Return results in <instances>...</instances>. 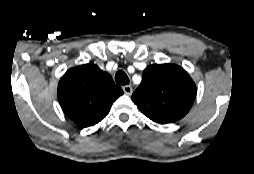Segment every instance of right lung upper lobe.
<instances>
[{
  "label": "right lung upper lobe",
  "instance_id": "obj_1",
  "mask_svg": "<svg viewBox=\"0 0 254 174\" xmlns=\"http://www.w3.org/2000/svg\"><path fill=\"white\" fill-rule=\"evenodd\" d=\"M123 94L112 77L93 63L69 69L58 84V100L64 113L81 127L100 122L112 103Z\"/></svg>",
  "mask_w": 254,
  "mask_h": 174
}]
</instances>
